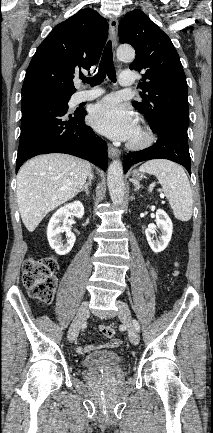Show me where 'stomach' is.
<instances>
[{
  "label": "stomach",
  "instance_id": "stomach-1",
  "mask_svg": "<svg viewBox=\"0 0 213 433\" xmlns=\"http://www.w3.org/2000/svg\"><path fill=\"white\" fill-rule=\"evenodd\" d=\"M133 177H135V178H142V177H143V174L140 173L139 171H134V172H133Z\"/></svg>",
  "mask_w": 213,
  "mask_h": 433
}]
</instances>
